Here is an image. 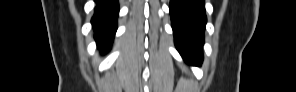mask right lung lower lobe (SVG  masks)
<instances>
[{"instance_id":"right-lung-lower-lobe-1","label":"right lung lower lobe","mask_w":296,"mask_h":92,"mask_svg":"<svg viewBox=\"0 0 296 92\" xmlns=\"http://www.w3.org/2000/svg\"><path fill=\"white\" fill-rule=\"evenodd\" d=\"M95 13L91 23L96 32L94 38L98 48L106 52L117 30V17L119 14L118 0H95Z\"/></svg>"}]
</instances>
